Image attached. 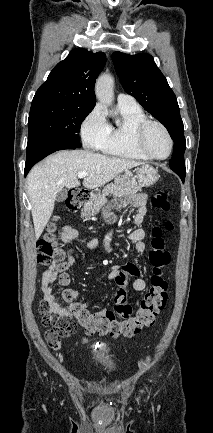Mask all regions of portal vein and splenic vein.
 <instances>
[{
  "label": "portal vein and splenic vein",
  "instance_id": "18ae733b",
  "mask_svg": "<svg viewBox=\"0 0 213 433\" xmlns=\"http://www.w3.org/2000/svg\"><path fill=\"white\" fill-rule=\"evenodd\" d=\"M87 172H80V173H78V178H84V177H86L87 176Z\"/></svg>",
  "mask_w": 213,
  "mask_h": 433
}]
</instances>
